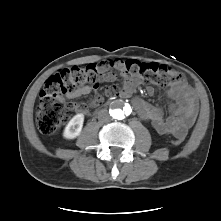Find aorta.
<instances>
[{
	"label": "aorta",
	"mask_w": 221,
	"mask_h": 221,
	"mask_svg": "<svg viewBox=\"0 0 221 221\" xmlns=\"http://www.w3.org/2000/svg\"><path fill=\"white\" fill-rule=\"evenodd\" d=\"M111 115L114 119L121 120L125 117V111L122 106H118L111 110Z\"/></svg>",
	"instance_id": "obj_1"
}]
</instances>
